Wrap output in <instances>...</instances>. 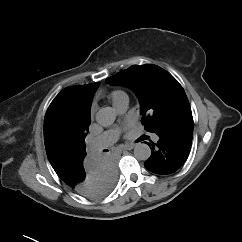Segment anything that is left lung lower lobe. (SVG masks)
<instances>
[{
    "label": "left lung lower lobe",
    "mask_w": 242,
    "mask_h": 242,
    "mask_svg": "<svg viewBox=\"0 0 242 242\" xmlns=\"http://www.w3.org/2000/svg\"><path fill=\"white\" fill-rule=\"evenodd\" d=\"M192 113H187L162 126L155 133L159 136L152 146L151 157L144 166L151 172L167 175L177 171L186 161L193 136Z\"/></svg>",
    "instance_id": "left-lung-lower-lobe-1"
}]
</instances>
